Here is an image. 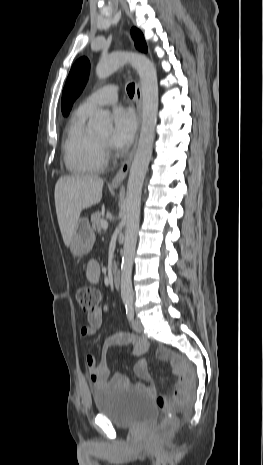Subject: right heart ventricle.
Wrapping results in <instances>:
<instances>
[{
    "label": "right heart ventricle",
    "instance_id": "right-heart-ventricle-1",
    "mask_svg": "<svg viewBox=\"0 0 263 465\" xmlns=\"http://www.w3.org/2000/svg\"><path fill=\"white\" fill-rule=\"evenodd\" d=\"M89 115L76 110L66 129L63 142L64 162L67 169L74 174L99 173L106 165L102 145L87 129Z\"/></svg>",
    "mask_w": 263,
    "mask_h": 465
}]
</instances>
